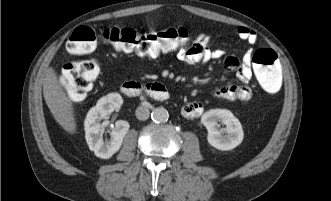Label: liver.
<instances>
[{"label": "liver", "mask_w": 331, "mask_h": 201, "mask_svg": "<svg viewBox=\"0 0 331 201\" xmlns=\"http://www.w3.org/2000/svg\"><path fill=\"white\" fill-rule=\"evenodd\" d=\"M45 102L57 123L70 134L76 132V122L72 101L67 96L52 67L45 71L43 79Z\"/></svg>", "instance_id": "6515ba94"}]
</instances>
